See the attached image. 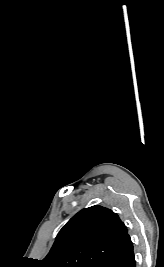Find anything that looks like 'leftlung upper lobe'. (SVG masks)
<instances>
[{
	"label": "left lung upper lobe",
	"instance_id": "left-lung-upper-lobe-1",
	"mask_svg": "<svg viewBox=\"0 0 164 267\" xmlns=\"http://www.w3.org/2000/svg\"><path fill=\"white\" fill-rule=\"evenodd\" d=\"M127 233L112 210L92 206L73 216L60 230L42 267H101Z\"/></svg>",
	"mask_w": 164,
	"mask_h": 267
}]
</instances>
